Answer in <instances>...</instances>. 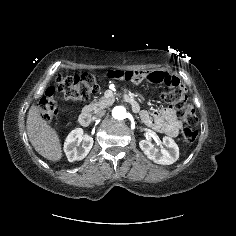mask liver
Here are the masks:
<instances>
[{"label": "liver", "instance_id": "6515ba94", "mask_svg": "<svg viewBox=\"0 0 236 236\" xmlns=\"http://www.w3.org/2000/svg\"><path fill=\"white\" fill-rule=\"evenodd\" d=\"M27 135L34 149L44 158L56 162L62 158V148L56 131L41 117L32 105L27 115Z\"/></svg>", "mask_w": 236, "mask_h": 236}]
</instances>
